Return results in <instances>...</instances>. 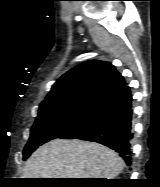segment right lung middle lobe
I'll return each instance as SVG.
<instances>
[{
	"label": "right lung middle lobe",
	"mask_w": 160,
	"mask_h": 187,
	"mask_svg": "<svg viewBox=\"0 0 160 187\" xmlns=\"http://www.w3.org/2000/svg\"><path fill=\"white\" fill-rule=\"evenodd\" d=\"M95 104V102L76 101L39 108L38 117L31 128L29 142L23 151V159H27L38 146L58 138L75 126L89 114Z\"/></svg>",
	"instance_id": "dd1d6c3e"
}]
</instances>
